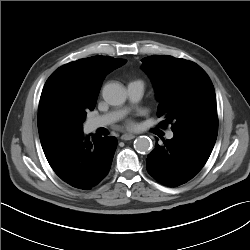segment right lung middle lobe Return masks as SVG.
<instances>
[{"label": "right lung middle lobe", "instance_id": "dd1d6c3e", "mask_svg": "<svg viewBox=\"0 0 250 250\" xmlns=\"http://www.w3.org/2000/svg\"><path fill=\"white\" fill-rule=\"evenodd\" d=\"M82 131H83V127H81L78 132H82Z\"/></svg>", "mask_w": 250, "mask_h": 250}]
</instances>
